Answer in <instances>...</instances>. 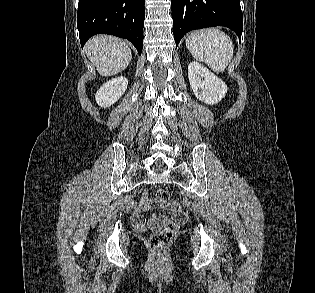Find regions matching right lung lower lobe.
<instances>
[{"mask_svg": "<svg viewBox=\"0 0 315 293\" xmlns=\"http://www.w3.org/2000/svg\"><path fill=\"white\" fill-rule=\"evenodd\" d=\"M145 0H79L77 28L83 47L98 33L128 39L141 54Z\"/></svg>", "mask_w": 315, "mask_h": 293, "instance_id": "1", "label": "right lung lower lobe"}]
</instances>
